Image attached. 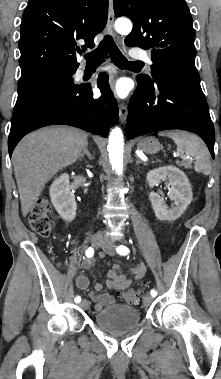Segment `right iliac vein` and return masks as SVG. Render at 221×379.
Wrapping results in <instances>:
<instances>
[{
    "mask_svg": "<svg viewBox=\"0 0 221 379\" xmlns=\"http://www.w3.org/2000/svg\"><path fill=\"white\" fill-rule=\"evenodd\" d=\"M103 243H104V239H103L102 236H100V235L93 236V238H92V245H93V247L98 248ZM80 306L85 309V308L88 307V302L86 300H82L81 303H80Z\"/></svg>",
    "mask_w": 221,
    "mask_h": 379,
    "instance_id": "right-iliac-vein-1",
    "label": "right iliac vein"
}]
</instances>
